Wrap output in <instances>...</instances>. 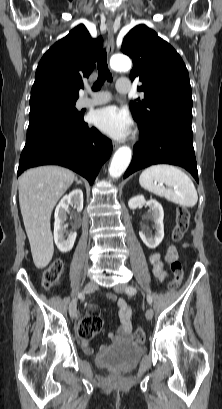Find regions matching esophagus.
Segmentation results:
<instances>
[{"label": "esophagus", "mask_w": 222, "mask_h": 409, "mask_svg": "<svg viewBox=\"0 0 222 409\" xmlns=\"http://www.w3.org/2000/svg\"><path fill=\"white\" fill-rule=\"evenodd\" d=\"M107 27H108V48H107V53L109 56L113 54L114 51V45H115V40H114V32H115V23L112 21L107 22ZM118 144L114 143L113 144V149L118 148Z\"/></svg>", "instance_id": "obj_1"}]
</instances>
